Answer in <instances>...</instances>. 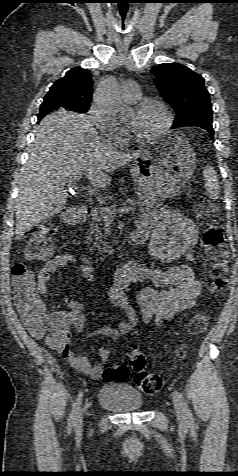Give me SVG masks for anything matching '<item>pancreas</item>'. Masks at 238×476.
Listing matches in <instances>:
<instances>
[{"mask_svg":"<svg viewBox=\"0 0 238 476\" xmlns=\"http://www.w3.org/2000/svg\"><path fill=\"white\" fill-rule=\"evenodd\" d=\"M117 205V201L113 204H109L107 207L108 209L115 208ZM133 205H137L142 210H152L159 208V204L157 200L153 197H149L146 195L138 194V199L133 200ZM92 222L90 223V229L88 230V236L86 237V243L93 242V247L90 248L91 250L97 249L100 253L101 244H103V249L106 253L112 252V246L110 243L106 242V238L103 236L102 233V225L105 223V220L102 215V209H96L92 215ZM92 235L95 237L92 238Z\"/></svg>","mask_w":238,"mask_h":476,"instance_id":"pancreas-1","label":"pancreas"}]
</instances>
